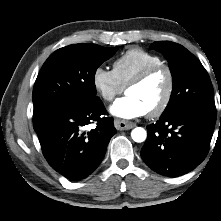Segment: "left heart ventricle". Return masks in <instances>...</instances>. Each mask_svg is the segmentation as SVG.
Here are the masks:
<instances>
[{"instance_id": "1", "label": "left heart ventricle", "mask_w": 221, "mask_h": 221, "mask_svg": "<svg viewBox=\"0 0 221 221\" xmlns=\"http://www.w3.org/2000/svg\"><path fill=\"white\" fill-rule=\"evenodd\" d=\"M166 88L167 75L164 71H159L142 84L129 88L126 93L138 98L150 111L160 103Z\"/></svg>"}]
</instances>
